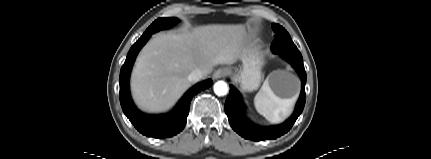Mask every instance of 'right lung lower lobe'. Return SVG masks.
Returning a JSON list of instances; mask_svg holds the SVG:
<instances>
[{
	"mask_svg": "<svg viewBox=\"0 0 431 159\" xmlns=\"http://www.w3.org/2000/svg\"><path fill=\"white\" fill-rule=\"evenodd\" d=\"M152 34L151 32L144 33L127 54L125 63L120 71V103L124 114L140 133L148 137L166 138L172 137L184 129L193 96L209 88L213 81L208 79L190 88L178 102L174 110L168 114L147 115L140 112L135 107L130 96L129 77L138 52Z\"/></svg>",
	"mask_w": 431,
	"mask_h": 159,
	"instance_id": "1",
	"label": "right lung lower lobe"
}]
</instances>
